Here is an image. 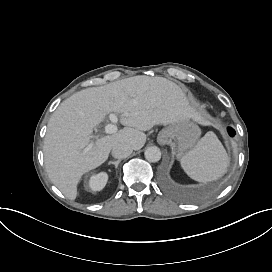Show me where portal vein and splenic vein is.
Listing matches in <instances>:
<instances>
[{"instance_id": "portal-vein-and-splenic-vein-1", "label": "portal vein and splenic vein", "mask_w": 272, "mask_h": 272, "mask_svg": "<svg viewBox=\"0 0 272 272\" xmlns=\"http://www.w3.org/2000/svg\"><path fill=\"white\" fill-rule=\"evenodd\" d=\"M124 115L126 116L127 114H124ZM109 119H110V121H111L112 123L107 124V125L105 126V132H106L107 134L116 133L117 130H118V128H117V126H116L114 123H117V122H118V118H117V116H116L115 114H110V115H109ZM92 146H93V142L90 143L86 149L89 150L90 148H92Z\"/></svg>"}]
</instances>
